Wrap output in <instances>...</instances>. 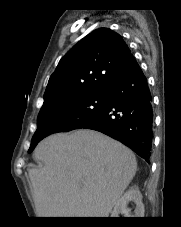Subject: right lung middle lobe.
<instances>
[{
  "label": "right lung middle lobe",
  "mask_w": 181,
  "mask_h": 227,
  "mask_svg": "<svg viewBox=\"0 0 181 227\" xmlns=\"http://www.w3.org/2000/svg\"><path fill=\"white\" fill-rule=\"evenodd\" d=\"M108 100L109 91L105 89L62 100L41 109L37 130L28 152H32L35 146L50 134L83 128L104 109Z\"/></svg>",
  "instance_id": "right-lung-middle-lobe-1"
}]
</instances>
